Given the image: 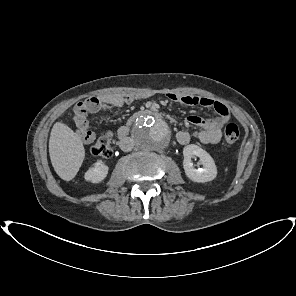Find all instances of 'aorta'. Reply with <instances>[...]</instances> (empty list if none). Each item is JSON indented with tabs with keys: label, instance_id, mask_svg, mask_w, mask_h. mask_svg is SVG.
Returning a JSON list of instances; mask_svg holds the SVG:
<instances>
[{
	"label": "aorta",
	"instance_id": "aorta-1",
	"mask_svg": "<svg viewBox=\"0 0 296 296\" xmlns=\"http://www.w3.org/2000/svg\"><path fill=\"white\" fill-rule=\"evenodd\" d=\"M133 138L143 150L162 151L170 142L171 131L165 121L152 116H142L136 122Z\"/></svg>",
	"mask_w": 296,
	"mask_h": 296
}]
</instances>
